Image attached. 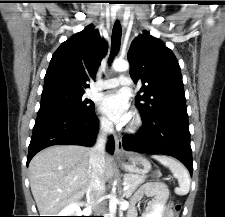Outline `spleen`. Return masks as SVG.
I'll return each mask as SVG.
<instances>
[{
    "instance_id": "obj_1",
    "label": "spleen",
    "mask_w": 225,
    "mask_h": 217,
    "mask_svg": "<svg viewBox=\"0 0 225 217\" xmlns=\"http://www.w3.org/2000/svg\"><path fill=\"white\" fill-rule=\"evenodd\" d=\"M152 158L168 167L178 179L179 187L175 189V193L178 195L188 194L190 189V177L187 169L180 162L169 156L153 155Z\"/></svg>"
}]
</instances>
